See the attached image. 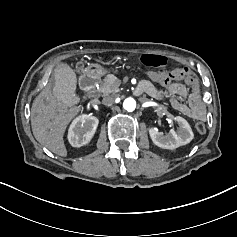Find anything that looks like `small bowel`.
I'll list each match as a JSON object with an SVG mask.
<instances>
[{
	"instance_id": "c3829d8e",
	"label": "small bowel",
	"mask_w": 237,
	"mask_h": 237,
	"mask_svg": "<svg viewBox=\"0 0 237 237\" xmlns=\"http://www.w3.org/2000/svg\"><path fill=\"white\" fill-rule=\"evenodd\" d=\"M168 74L166 72L150 71L148 73L150 79L163 84L165 88L159 89L150 81H142L138 85L137 91L147 93L155 98L170 96V103L175 110L192 119L205 120L207 118V108L202 98L200 86L194 76L184 78V84L178 81L164 84L163 80ZM178 97L186 98L187 101L183 102Z\"/></svg>"
}]
</instances>
